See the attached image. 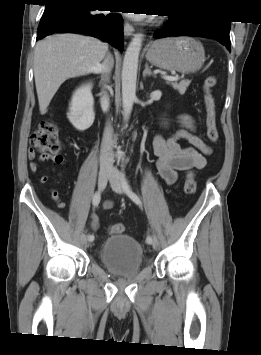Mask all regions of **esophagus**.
<instances>
[{
	"mask_svg": "<svg viewBox=\"0 0 261 355\" xmlns=\"http://www.w3.org/2000/svg\"><path fill=\"white\" fill-rule=\"evenodd\" d=\"M134 27L128 23L127 21H125L124 23V34L125 36H131L134 33Z\"/></svg>",
	"mask_w": 261,
	"mask_h": 355,
	"instance_id": "esophagus-1",
	"label": "esophagus"
}]
</instances>
